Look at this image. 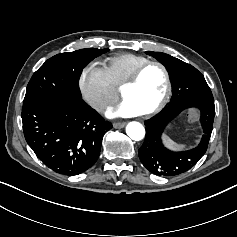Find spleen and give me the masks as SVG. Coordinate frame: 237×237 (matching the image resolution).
<instances>
[{"mask_svg":"<svg viewBox=\"0 0 237 237\" xmlns=\"http://www.w3.org/2000/svg\"><path fill=\"white\" fill-rule=\"evenodd\" d=\"M166 142L168 143V145H169L171 148H180L179 145H177L175 142H173L172 140H170L168 137H166Z\"/></svg>","mask_w":237,"mask_h":237,"instance_id":"obj_1","label":"spleen"}]
</instances>
